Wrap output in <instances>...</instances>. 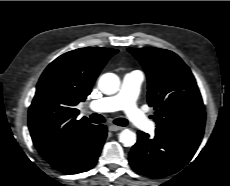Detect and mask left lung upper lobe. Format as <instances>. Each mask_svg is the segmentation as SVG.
Listing matches in <instances>:
<instances>
[{
	"label": "left lung upper lobe",
	"instance_id": "1",
	"mask_svg": "<svg viewBox=\"0 0 230 186\" xmlns=\"http://www.w3.org/2000/svg\"><path fill=\"white\" fill-rule=\"evenodd\" d=\"M143 66L148 78V103L159 130L180 136L202 138L205 107L188 66L180 57L154 47L128 48Z\"/></svg>",
	"mask_w": 230,
	"mask_h": 186
}]
</instances>
